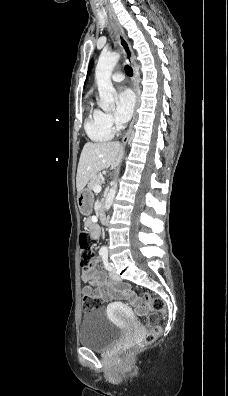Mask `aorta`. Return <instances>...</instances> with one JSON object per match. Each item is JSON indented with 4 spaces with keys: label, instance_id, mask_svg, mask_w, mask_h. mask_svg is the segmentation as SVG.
Instances as JSON below:
<instances>
[{
    "label": "aorta",
    "instance_id": "1",
    "mask_svg": "<svg viewBox=\"0 0 228 396\" xmlns=\"http://www.w3.org/2000/svg\"><path fill=\"white\" fill-rule=\"evenodd\" d=\"M120 55L119 53H110V54H102L99 57L96 70H95V80L98 86L100 101L99 106L104 110H109L114 107V101L116 97V90L113 87L111 81V74L119 61ZM117 190V182L114 181L112 183V187L110 188L105 201V210H109L112 206L115 194ZM103 250H106V247H102Z\"/></svg>",
    "mask_w": 228,
    "mask_h": 396
}]
</instances>
